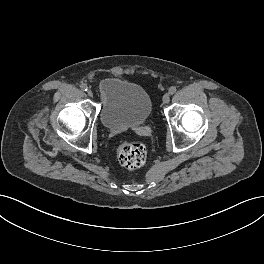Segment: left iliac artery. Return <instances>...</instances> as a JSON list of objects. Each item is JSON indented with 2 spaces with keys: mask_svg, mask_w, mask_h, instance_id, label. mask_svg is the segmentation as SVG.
<instances>
[{
  "mask_svg": "<svg viewBox=\"0 0 264 264\" xmlns=\"http://www.w3.org/2000/svg\"><path fill=\"white\" fill-rule=\"evenodd\" d=\"M176 91H177V89H176L175 86H172V87L169 89V93H170L171 95H173Z\"/></svg>",
  "mask_w": 264,
  "mask_h": 264,
  "instance_id": "obj_1",
  "label": "left iliac artery"
}]
</instances>
